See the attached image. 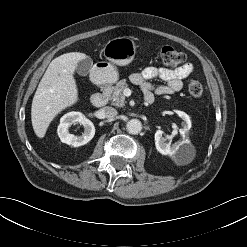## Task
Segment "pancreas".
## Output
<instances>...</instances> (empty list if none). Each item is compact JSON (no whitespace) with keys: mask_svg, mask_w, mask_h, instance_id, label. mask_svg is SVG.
Listing matches in <instances>:
<instances>
[{"mask_svg":"<svg viewBox=\"0 0 247 247\" xmlns=\"http://www.w3.org/2000/svg\"><path fill=\"white\" fill-rule=\"evenodd\" d=\"M128 87L125 79L120 80L117 84L112 88V95L110 97L111 104L116 107L125 106V96L123 95V91Z\"/></svg>","mask_w":247,"mask_h":247,"instance_id":"obj_1","label":"pancreas"}]
</instances>
